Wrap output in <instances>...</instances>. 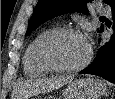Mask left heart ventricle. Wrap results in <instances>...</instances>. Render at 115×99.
<instances>
[{"label": "left heart ventricle", "instance_id": "b2bd125f", "mask_svg": "<svg viewBox=\"0 0 115 99\" xmlns=\"http://www.w3.org/2000/svg\"><path fill=\"white\" fill-rule=\"evenodd\" d=\"M87 42L78 35H67L54 41L49 53L59 65L74 66L81 63L87 55Z\"/></svg>", "mask_w": 115, "mask_h": 99}]
</instances>
